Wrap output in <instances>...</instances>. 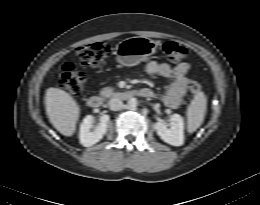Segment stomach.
I'll return each mask as SVG.
<instances>
[{
    "mask_svg": "<svg viewBox=\"0 0 260 205\" xmlns=\"http://www.w3.org/2000/svg\"><path fill=\"white\" fill-rule=\"evenodd\" d=\"M155 41L141 36L127 38L116 46V59L124 66H134L156 53Z\"/></svg>",
    "mask_w": 260,
    "mask_h": 205,
    "instance_id": "stomach-1",
    "label": "stomach"
}]
</instances>
